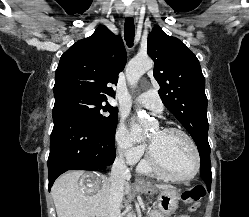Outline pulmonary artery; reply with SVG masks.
<instances>
[{
  "label": "pulmonary artery",
  "mask_w": 249,
  "mask_h": 217,
  "mask_svg": "<svg viewBox=\"0 0 249 217\" xmlns=\"http://www.w3.org/2000/svg\"><path fill=\"white\" fill-rule=\"evenodd\" d=\"M137 101L145 106L146 108L161 113L164 109V105L162 100L155 89H150L144 93H142L138 98Z\"/></svg>",
  "instance_id": "1"
}]
</instances>
